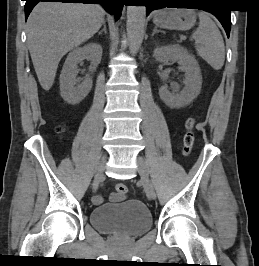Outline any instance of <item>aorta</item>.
<instances>
[{"label": "aorta", "instance_id": "762f6f07", "mask_svg": "<svg viewBox=\"0 0 259 266\" xmlns=\"http://www.w3.org/2000/svg\"><path fill=\"white\" fill-rule=\"evenodd\" d=\"M145 6L127 7V37L130 53L136 54L142 44L145 26Z\"/></svg>", "mask_w": 259, "mask_h": 266}]
</instances>
